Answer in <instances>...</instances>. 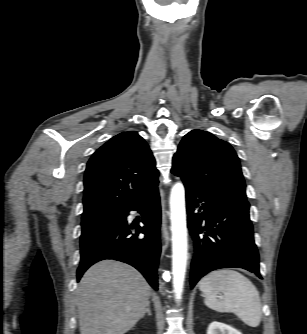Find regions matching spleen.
Here are the masks:
<instances>
[{"label":"spleen","instance_id":"spleen-1","mask_svg":"<svg viewBox=\"0 0 307 334\" xmlns=\"http://www.w3.org/2000/svg\"><path fill=\"white\" fill-rule=\"evenodd\" d=\"M204 303L210 309L222 313H234L245 324L257 327L262 311L259 293L255 285L241 273L222 269L208 273L200 283ZM223 294V300L217 298Z\"/></svg>","mask_w":307,"mask_h":334}]
</instances>
